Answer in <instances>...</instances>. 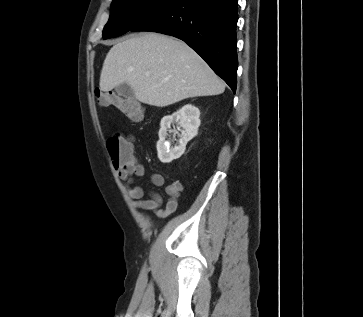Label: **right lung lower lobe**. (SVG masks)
<instances>
[{
    "label": "right lung lower lobe",
    "instance_id": "1",
    "mask_svg": "<svg viewBox=\"0 0 363 317\" xmlns=\"http://www.w3.org/2000/svg\"><path fill=\"white\" fill-rule=\"evenodd\" d=\"M238 0H177L131 31L168 34L186 42L236 91Z\"/></svg>",
    "mask_w": 363,
    "mask_h": 317
}]
</instances>
